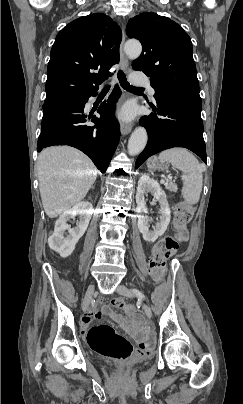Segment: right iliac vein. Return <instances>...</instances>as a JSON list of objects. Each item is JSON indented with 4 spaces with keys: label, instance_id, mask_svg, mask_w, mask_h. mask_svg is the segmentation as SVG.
<instances>
[{
    "label": "right iliac vein",
    "instance_id": "63e3f726",
    "mask_svg": "<svg viewBox=\"0 0 243 404\" xmlns=\"http://www.w3.org/2000/svg\"><path fill=\"white\" fill-rule=\"evenodd\" d=\"M94 288H95L94 285H90L86 291V294H85V297L83 300V304H82L83 312H86L89 308V304H90L91 298L94 293Z\"/></svg>",
    "mask_w": 243,
    "mask_h": 404
}]
</instances>
